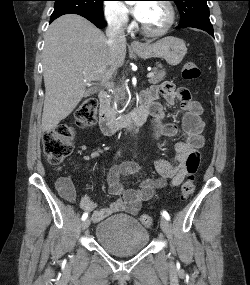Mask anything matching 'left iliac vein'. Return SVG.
<instances>
[{"instance_id": "obj_1", "label": "left iliac vein", "mask_w": 250, "mask_h": 285, "mask_svg": "<svg viewBox=\"0 0 250 285\" xmlns=\"http://www.w3.org/2000/svg\"><path fill=\"white\" fill-rule=\"evenodd\" d=\"M160 226L164 233H168L169 231V222L165 217H161L160 219Z\"/></svg>"}]
</instances>
